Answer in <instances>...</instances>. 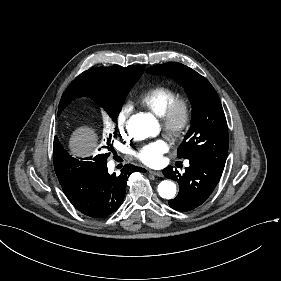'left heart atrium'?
Segmentation results:
<instances>
[{
    "instance_id": "obj_1",
    "label": "left heart atrium",
    "mask_w": 281,
    "mask_h": 281,
    "mask_svg": "<svg viewBox=\"0 0 281 281\" xmlns=\"http://www.w3.org/2000/svg\"><path fill=\"white\" fill-rule=\"evenodd\" d=\"M168 149L167 143L162 140H156L143 145L134 152L135 157L148 166H158L162 163V155Z\"/></svg>"
}]
</instances>
